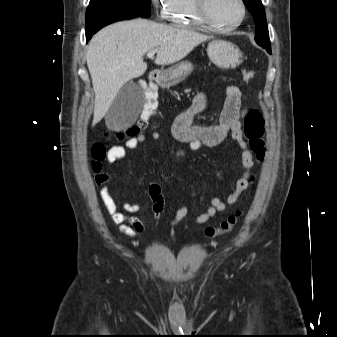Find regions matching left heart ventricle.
<instances>
[{
	"label": "left heart ventricle",
	"instance_id": "1",
	"mask_svg": "<svg viewBox=\"0 0 337 337\" xmlns=\"http://www.w3.org/2000/svg\"><path fill=\"white\" fill-rule=\"evenodd\" d=\"M208 11L216 23L224 26L237 22L242 13L238 0H208Z\"/></svg>",
	"mask_w": 337,
	"mask_h": 337
}]
</instances>
